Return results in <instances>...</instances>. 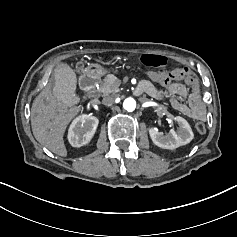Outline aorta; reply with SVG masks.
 <instances>
[{
  "instance_id": "762f6f07",
  "label": "aorta",
  "mask_w": 237,
  "mask_h": 237,
  "mask_svg": "<svg viewBox=\"0 0 237 237\" xmlns=\"http://www.w3.org/2000/svg\"><path fill=\"white\" fill-rule=\"evenodd\" d=\"M123 108L128 112H133L136 108V102L133 98H127L123 102Z\"/></svg>"
}]
</instances>
